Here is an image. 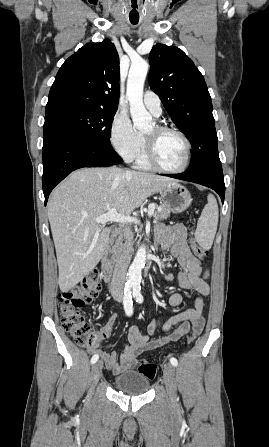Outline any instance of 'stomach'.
<instances>
[{"instance_id": "obj_1", "label": "stomach", "mask_w": 269, "mask_h": 447, "mask_svg": "<svg viewBox=\"0 0 269 447\" xmlns=\"http://www.w3.org/2000/svg\"><path fill=\"white\" fill-rule=\"evenodd\" d=\"M161 198L163 206L169 212H173V214L185 212L192 202L190 192L184 186H179V184L166 186L165 190H161Z\"/></svg>"}]
</instances>
